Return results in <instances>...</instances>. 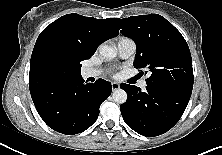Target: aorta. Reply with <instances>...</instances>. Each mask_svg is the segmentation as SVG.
Returning a JSON list of instances; mask_svg holds the SVG:
<instances>
[{
	"instance_id": "762f6f07",
	"label": "aorta",
	"mask_w": 222,
	"mask_h": 155,
	"mask_svg": "<svg viewBox=\"0 0 222 155\" xmlns=\"http://www.w3.org/2000/svg\"><path fill=\"white\" fill-rule=\"evenodd\" d=\"M99 53L102 57L107 60H111L116 57V50L108 45H102L99 49ZM114 102L118 104H123L127 100V93L123 89H116L112 94Z\"/></svg>"
}]
</instances>
